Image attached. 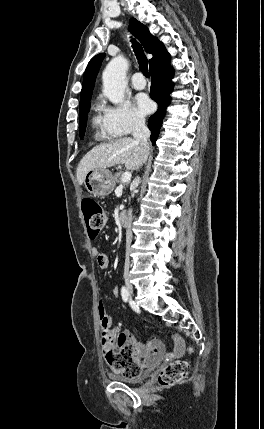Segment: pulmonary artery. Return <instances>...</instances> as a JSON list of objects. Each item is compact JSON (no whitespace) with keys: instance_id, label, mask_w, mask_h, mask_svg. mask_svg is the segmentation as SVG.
Masks as SVG:
<instances>
[{"instance_id":"1","label":"pulmonary artery","mask_w":264,"mask_h":429,"mask_svg":"<svg viewBox=\"0 0 264 429\" xmlns=\"http://www.w3.org/2000/svg\"><path fill=\"white\" fill-rule=\"evenodd\" d=\"M131 84L134 89L141 90L144 89L146 86V81L143 77V75L139 72L134 73L131 78Z\"/></svg>"}]
</instances>
